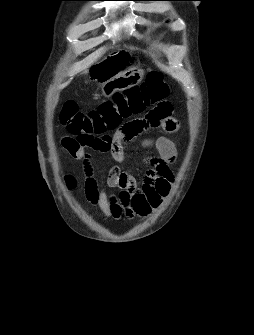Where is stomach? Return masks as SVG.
<instances>
[{
  "label": "stomach",
  "mask_w": 254,
  "mask_h": 335,
  "mask_svg": "<svg viewBox=\"0 0 254 335\" xmlns=\"http://www.w3.org/2000/svg\"><path fill=\"white\" fill-rule=\"evenodd\" d=\"M127 60L128 55L121 53L96 64L91 69L92 78L103 83L102 93L104 96H111L117 90L129 88L142 81L144 72L141 69L134 68L118 73L120 66Z\"/></svg>",
  "instance_id": "stomach-1"
}]
</instances>
